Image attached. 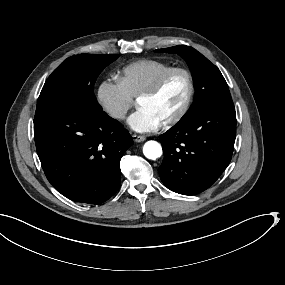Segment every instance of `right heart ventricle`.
<instances>
[{"instance_id": "1", "label": "right heart ventricle", "mask_w": 285, "mask_h": 285, "mask_svg": "<svg viewBox=\"0 0 285 285\" xmlns=\"http://www.w3.org/2000/svg\"><path fill=\"white\" fill-rule=\"evenodd\" d=\"M171 70H173V67L158 60L145 59L138 61L131 66L132 73L127 90L134 98H139Z\"/></svg>"}]
</instances>
